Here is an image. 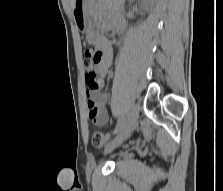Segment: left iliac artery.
<instances>
[{"label": "left iliac artery", "mask_w": 223, "mask_h": 191, "mask_svg": "<svg viewBox=\"0 0 223 191\" xmlns=\"http://www.w3.org/2000/svg\"><path fill=\"white\" fill-rule=\"evenodd\" d=\"M124 124H125V115L122 114L119 117V119H118V123H117V125H116V127H115V129L113 131V134L114 135L117 134L122 129V127L124 126Z\"/></svg>", "instance_id": "left-iliac-artery-1"}]
</instances>
